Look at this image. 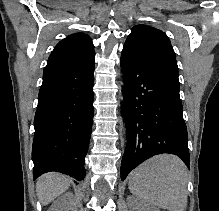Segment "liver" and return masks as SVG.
Instances as JSON below:
<instances>
[{
  "mask_svg": "<svg viewBox=\"0 0 219 211\" xmlns=\"http://www.w3.org/2000/svg\"><path fill=\"white\" fill-rule=\"evenodd\" d=\"M70 183V177L68 175H62L58 171H49V173L40 175L37 179L36 191L42 205H47L55 197L64 193Z\"/></svg>",
  "mask_w": 219,
  "mask_h": 211,
  "instance_id": "6515ba94",
  "label": "liver"
}]
</instances>
